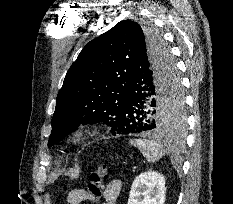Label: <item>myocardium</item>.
<instances>
[{
  "label": "myocardium",
  "mask_w": 233,
  "mask_h": 204,
  "mask_svg": "<svg viewBox=\"0 0 233 204\" xmlns=\"http://www.w3.org/2000/svg\"><path fill=\"white\" fill-rule=\"evenodd\" d=\"M91 132H92V129H90V128H88V127L82 128V129L80 130V133H81V134H89V133H91Z\"/></svg>",
  "instance_id": "obj_1"
}]
</instances>
